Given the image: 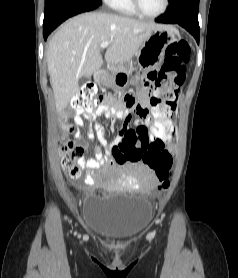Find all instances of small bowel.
<instances>
[{
    "label": "small bowel",
    "mask_w": 238,
    "mask_h": 278,
    "mask_svg": "<svg viewBox=\"0 0 238 278\" xmlns=\"http://www.w3.org/2000/svg\"><path fill=\"white\" fill-rule=\"evenodd\" d=\"M145 76L147 81H156L157 77L160 76L159 67H148V71H145ZM147 98H153V93H142L139 102L137 104L136 100H123L122 104L124 106L118 107L114 104H104L101 105L95 112L88 113L82 110H75L73 121L77 127L84 126V118L93 121L94 132L90 131L88 133V138L92 139L96 136L100 146L96 147L94 150L93 158H82L80 161L81 167L88 169L99 168L102 165H107L112 163V157L110 155H104L103 149L111 150L114 146L119 145L124 142H129L131 144H142V137H149L153 144H164V149H172V153L176 151V145L170 144L172 140V135H157L155 139L151 136L148 131L149 119L148 116H139L140 120L137 123V129H130L128 123L130 122L133 114L135 113H151L150 105L147 103ZM84 118H83V116ZM68 113L62 112L58 116V121L62 127L65 134H70L73 132V127L67 124ZM97 116H104L105 118L111 119L113 123L118 120H123L124 126L119 134V136L114 140L113 143H108L105 137L104 127L95 118ZM76 138L79 142L85 146L81 133L76 134ZM171 156V154H169ZM147 166V165H146ZM148 167V166H147ZM149 173L145 176L144 183L147 187L151 188L156 185L158 179L153 170L149 167Z\"/></svg>",
    "instance_id": "obj_1"
}]
</instances>
